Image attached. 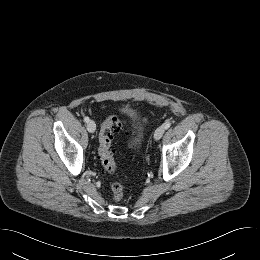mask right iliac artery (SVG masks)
<instances>
[{
  "label": "right iliac artery",
  "instance_id": "1",
  "mask_svg": "<svg viewBox=\"0 0 260 260\" xmlns=\"http://www.w3.org/2000/svg\"><path fill=\"white\" fill-rule=\"evenodd\" d=\"M84 121H85L86 123H88V122H89V117H84Z\"/></svg>",
  "mask_w": 260,
  "mask_h": 260
}]
</instances>
